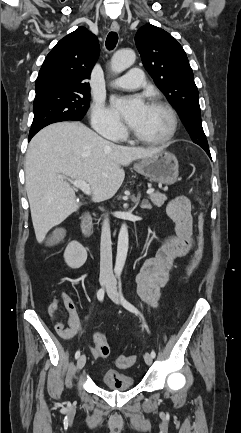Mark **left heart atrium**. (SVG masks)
Returning <instances> with one entry per match:
<instances>
[{"mask_svg": "<svg viewBox=\"0 0 241 433\" xmlns=\"http://www.w3.org/2000/svg\"><path fill=\"white\" fill-rule=\"evenodd\" d=\"M112 108L131 128H134L143 117L147 104L140 96L115 97L112 99Z\"/></svg>", "mask_w": 241, "mask_h": 433, "instance_id": "left-heart-atrium-1", "label": "left heart atrium"}]
</instances>
